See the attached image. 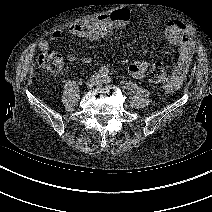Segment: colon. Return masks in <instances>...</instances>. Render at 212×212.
Here are the masks:
<instances>
[{
	"instance_id": "5ec220e1",
	"label": "colon",
	"mask_w": 212,
	"mask_h": 212,
	"mask_svg": "<svg viewBox=\"0 0 212 212\" xmlns=\"http://www.w3.org/2000/svg\"><path fill=\"white\" fill-rule=\"evenodd\" d=\"M40 66L51 72H60L65 67V62L62 55L56 51H45L39 58ZM149 79L156 84H167L170 80V75L167 67L162 63L153 65L149 72Z\"/></svg>"
}]
</instances>
